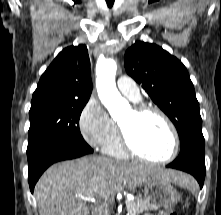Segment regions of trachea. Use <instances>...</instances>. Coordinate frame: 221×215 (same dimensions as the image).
Listing matches in <instances>:
<instances>
[{
    "instance_id": "trachea-1",
    "label": "trachea",
    "mask_w": 221,
    "mask_h": 215,
    "mask_svg": "<svg viewBox=\"0 0 221 215\" xmlns=\"http://www.w3.org/2000/svg\"><path fill=\"white\" fill-rule=\"evenodd\" d=\"M107 5L109 8H112L113 4H114V0H106Z\"/></svg>"
}]
</instances>
